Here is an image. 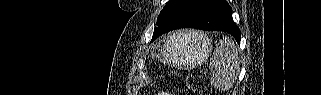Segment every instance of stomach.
<instances>
[{
    "instance_id": "stomach-1",
    "label": "stomach",
    "mask_w": 321,
    "mask_h": 95,
    "mask_svg": "<svg viewBox=\"0 0 321 95\" xmlns=\"http://www.w3.org/2000/svg\"><path fill=\"white\" fill-rule=\"evenodd\" d=\"M211 51V40L194 31L169 34L162 46L154 48L156 58L178 67H194L206 60Z\"/></svg>"
}]
</instances>
